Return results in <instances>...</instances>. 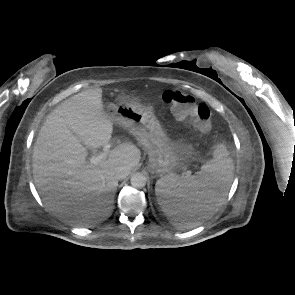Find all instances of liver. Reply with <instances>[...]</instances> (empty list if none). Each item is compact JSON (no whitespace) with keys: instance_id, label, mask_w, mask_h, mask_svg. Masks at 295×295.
<instances>
[{"instance_id":"obj_1","label":"liver","mask_w":295,"mask_h":295,"mask_svg":"<svg viewBox=\"0 0 295 295\" xmlns=\"http://www.w3.org/2000/svg\"><path fill=\"white\" fill-rule=\"evenodd\" d=\"M112 132L101 88L71 96L48 115L33 149V176L46 206L60 219L87 221L102 214L118 186L116 169L130 173L138 165L141 152L131 142L117 145L96 166L86 161L88 148L104 146Z\"/></svg>"}]
</instances>
